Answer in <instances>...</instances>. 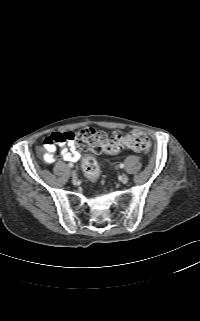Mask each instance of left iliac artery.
<instances>
[{
	"label": "left iliac artery",
	"mask_w": 200,
	"mask_h": 321,
	"mask_svg": "<svg viewBox=\"0 0 200 321\" xmlns=\"http://www.w3.org/2000/svg\"><path fill=\"white\" fill-rule=\"evenodd\" d=\"M119 167H120V168H124V164L121 163V164L119 165Z\"/></svg>",
	"instance_id": "left-iliac-artery-1"
}]
</instances>
